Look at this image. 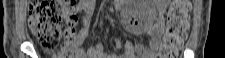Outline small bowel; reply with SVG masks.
I'll list each match as a JSON object with an SVG mask.
<instances>
[{"label": "small bowel", "instance_id": "1", "mask_svg": "<svg viewBox=\"0 0 225 58\" xmlns=\"http://www.w3.org/2000/svg\"><path fill=\"white\" fill-rule=\"evenodd\" d=\"M80 6L83 12L81 26L78 35L72 42L76 48L75 58H137L142 53L144 47L141 44H134L130 41L122 42L118 38L114 40V46L116 49H123L124 52L121 55L106 52L103 44L100 43L90 47L86 51L82 47V44L89 34L90 17L94 13L95 0L82 1ZM154 6L159 13V17L155 23L146 29L151 37L149 47L152 50L157 48L163 32L162 16L167 7V3L165 1H155ZM146 57H154V55H147Z\"/></svg>", "mask_w": 225, "mask_h": 58}]
</instances>
